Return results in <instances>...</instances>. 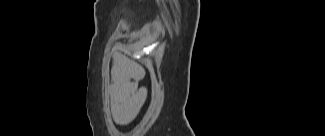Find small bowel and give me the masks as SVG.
Instances as JSON below:
<instances>
[{
  "label": "small bowel",
  "instance_id": "1",
  "mask_svg": "<svg viewBox=\"0 0 325 136\" xmlns=\"http://www.w3.org/2000/svg\"><path fill=\"white\" fill-rule=\"evenodd\" d=\"M143 73L120 55L114 59L111 108L117 124L125 125L140 110L147 98L146 87H139Z\"/></svg>",
  "mask_w": 325,
  "mask_h": 136
}]
</instances>
